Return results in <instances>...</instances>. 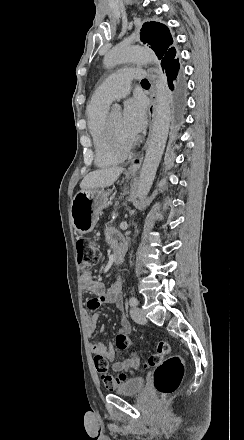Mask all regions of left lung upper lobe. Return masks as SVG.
Returning <instances> with one entry per match:
<instances>
[{"mask_svg": "<svg viewBox=\"0 0 244 440\" xmlns=\"http://www.w3.org/2000/svg\"><path fill=\"white\" fill-rule=\"evenodd\" d=\"M140 37L144 44L148 43L154 50L162 67L176 59V49L170 47L173 39L165 25L154 21L146 22L142 26Z\"/></svg>", "mask_w": 244, "mask_h": 440, "instance_id": "1", "label": "left lung upper lobe"}]
</instances>
